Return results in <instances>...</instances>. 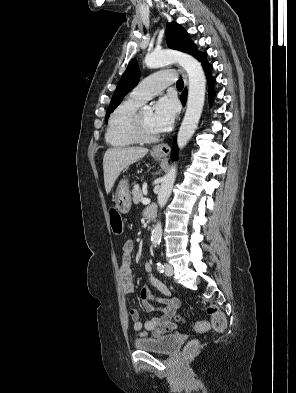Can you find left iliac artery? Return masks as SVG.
<instances>
[{
	"label": "left iliac artery",
	"mask_w": 296,
	"mask_h": 393,
	"mask_svg": "<svg viewBox=\"0 0 296 393\" xmlns=\"http://www.w3.org/2000/svg\"><path fill=\"white\" fill-rule=\"evenodd\" d=\"M157 245L155 244L154 245V247H156ZM157 270L160 272V273H163L164 272V265L161 263V262H157Z\"/></svg>",
	"instance_id": "44dca946"
}]
</instances>
